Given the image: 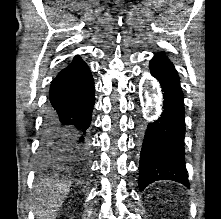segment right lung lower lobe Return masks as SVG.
Segmentation results:
<instances>
[{
    "label": "right lung lower lobe",
    "mask_w": 221,
    "mask_h": 219,
    "mask_svg": "<svg viewBox=\"0 0 221 219\" xmlns=\"http://www.w3.org/2000/svg\"><path fill=\"white\" fill-rule=\"evenodd\" d=\"M94 91L91 71L79 56L53 80L41 134V171H58L82 162L86 156Z\"/></svg>",
    "instance_id": "98d812e1"
}]
</instances>
